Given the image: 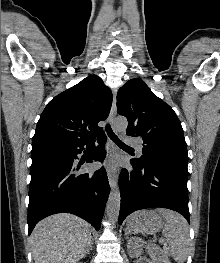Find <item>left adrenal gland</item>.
<instances>
[{"label":"left adrenal gland","mask_w":220,"mask_h":263,"mask_svg":"<svg viewBox=\"0 0 220 263\" xmlns=\"http://www.w3.org/2000/svg\"><path fill=\"white\" fill-rule=\"evenodd\" d=\"M125 236H126V238H129V232H128L127 228L125 229Z\"/></svg>","instance_id":"1"}]
</instances>
